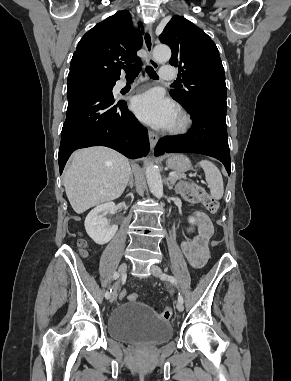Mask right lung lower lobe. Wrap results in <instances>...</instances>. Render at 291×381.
<instances>
[{
  "label": "right lung lower lobe",
  "instance_id": "98d812e1",
  "mask_svg": "<svg viewBox=\"0 0 291 381\" xmlns=\"http://www.w3.org/2000/svg\"><path fill=\"white\" fill-rule=\"evenodd\" d=\"M68 108L58 154L60 174L73 151L102 145L131 159L149 151L147 129L140 125L124 101L99 81L79 75L68 76Z\"/></svg>",
  "mask_w": 291,
  "mask_h": 381
}]
</instances>
